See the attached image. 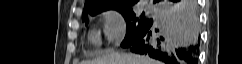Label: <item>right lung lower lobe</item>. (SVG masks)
<instances>
[{
  "mask_svg": "<svg viewBox=\"0 0 242 64\" xmlns=\"http://www.w3.org/2000/svg\"><path fill=\"white\" fill-rule=\"evenodd\" d=\"M154 22L126 47L166 64H197L199 21L195 0H156ZM156 33V34H155Z\"/></svg>",
  "mask_w": 242,
  "mask_h": 64,
  "instance_id": "1",
  "label": "right lung lower lobe"
}]
</instances>
